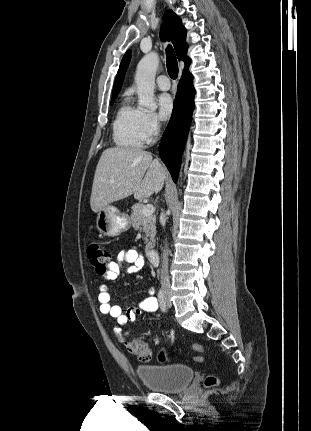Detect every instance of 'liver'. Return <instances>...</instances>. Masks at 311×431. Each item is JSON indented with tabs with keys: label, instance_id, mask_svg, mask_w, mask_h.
Listing matches in <instances>:
<instances>
[{
	"label": "liver",
	"instance_id": "6515ba94",
	"mask_svg": "<svg viewBox=\"0 0 311 431\" xmlns=\"http://www.w3.org/2000/svg\"><path fill=\"white\" fill-rule=\"evenodd\" d=\"M167 170L141 148H107L97 164L90 206L100 212L113 202L134 196L146 200L161 192Z\"/></svg>",
	"mask_w": 311,
	"mask_h": 431
}]
</instances>
